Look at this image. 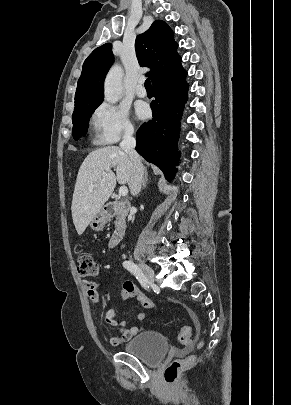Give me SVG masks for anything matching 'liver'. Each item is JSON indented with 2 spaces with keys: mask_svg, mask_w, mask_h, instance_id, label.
<instances>
[{
  "mask_svg": "<svg viewBox=\"0 0 291 405\" xmlns=\"http://www.w3.org/2000/svg\"><path fill=\"white\" fill-rule=\"evenodd\" d=\"M111 168H116V176ZM130 176V158L122 148L107 146L88 154L78 171L71 206L79 235L108 201L116 183L129 184Z\"/></svg>",
  "mask_w": 291,
  "mask_h": 405,
  "instance_id": "6515ba94",
  "label": "liver"
}]
</instances>
